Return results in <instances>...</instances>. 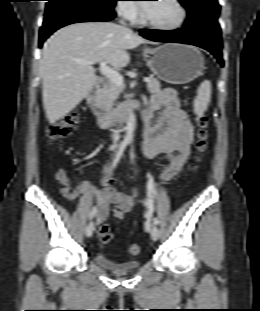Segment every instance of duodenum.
I'll use <instances>...</instances> for the list:
<instances>
[{
  "instance_id": "obj_1",
  "label": "duodenum",
  "mask_w": 260,
  "mask_h": 311,
  "mask_svg": "<svg viewBox=\"0 0 260 311\" xmlns=\"http://www.w3.org/2000/svg\"><path fill=\"white\" fill-rule=\"evenodd\" d=\"M103 77L97 78L96 82L89 88L86 94V104L97 123L101 126L118 125L126 122L131 114L140 108V104L131 101L121 104L110 112H104L99 107V93L104 83Z\"/></svg>"
}]
</instances>
